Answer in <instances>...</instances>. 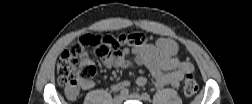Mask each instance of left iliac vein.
Returning <instances> with one entry per match:
<instances>
[{"label": "left iliac vein", "instance_id": "left-iliac-vein-1", "mask_svg": "<svg viewBox=\"0 0 252 104\" xmlns=\"http://www.w3.org/2000/svg\"><path fill=\"white\" fill-rule=\"evenodd\" d=\"M124 99H135V100H142V96L138 93H131L124 97Z\"/></svg>", "mask_w": 252, "mask_h": 104}]
</instances>
